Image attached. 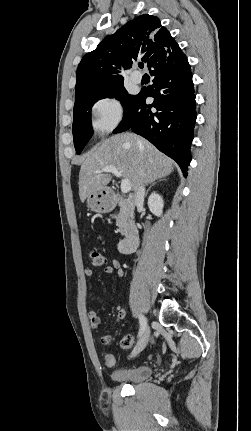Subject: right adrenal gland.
I'll use <instances>...</instances> for the list:
<instances>
[{"instance_id": "1", "label": "right adrenal gland", "mask_w": 251, "mask_h": 431, "mask_svg": "<svg viewBox=\"0 0 251 431\" xmlns=\"http://www.w3.org/2000/svg\"><path fill=\"white\" fill-rule=\"evenodd\" d=\"M160 181H166V179H160V180H158V181H156V182L152 183V184L150 185V187L148 188L147 192H146V196L148 195V192L150 191L151 187H152V186H154L157 182H160Z\"/></svg>"}]
</instances>
